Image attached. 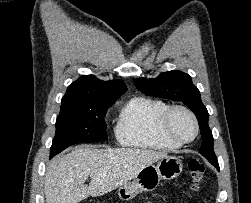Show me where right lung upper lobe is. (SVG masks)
<instances>
[{"label":"right lung upper lobe","instance_id":"right-lung-upper-lobe-1","mask_svg":"<svg viewBox=\"0 0 251 203\" xmlns=\"http://www.w3.org/2000/svg\"><path fill=\"white\" fill-rule=\"evenodd\" d=\"M127 87L122 80L101 81L93 75H83L71 83L61 105L85 102H115Z\"/></svg>","mask_w":251,"mask_h":203}]
</instances>
